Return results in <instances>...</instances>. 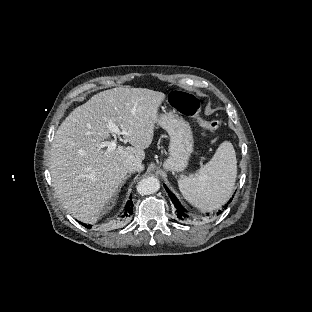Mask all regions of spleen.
<instances>
[{"instance_id": "obj_1", "label": "spleen", "mask_w": 312, "mask_h": 312, "mask_svg": "<svg viewBox=\"0 0 312 312\" xmlns=\"http://www.w3.org/2000/svg\"><path fill=\"white\" fill-rule=\"evenodd\" d=\"M236 179V156L233 146L223 142L212 159L195 173L179 176L181 194L193 206L211 211L230 197Z\"/></svg>"}]
</instances>
